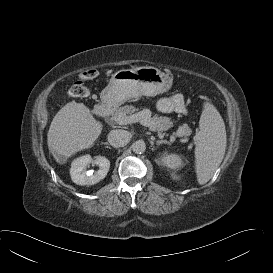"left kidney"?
<instances>
[{
  "label": "left kidney",
  "instance_id": "left-kidney-1",
  "mask_svg": "<svg viewBox=\"0 0 273 273\" xmlns=\"http://www.w3.org/2000/svg\"><path fill=\"white\" fill-rule=\"evenodd\" d=\"M172 177H173L174 179H177V178H178L175 174H172Z\"/></svg>",
  "mask_w": 273,
  "mask_h": 273
}]
</instances>
